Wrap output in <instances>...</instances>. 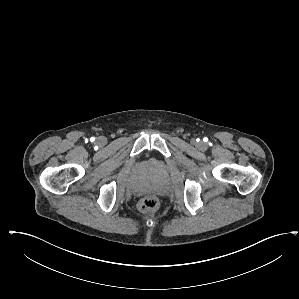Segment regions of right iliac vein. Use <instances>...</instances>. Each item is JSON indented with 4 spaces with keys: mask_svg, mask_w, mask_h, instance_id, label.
Segmentation results:
<instances>
[{
    "mask_svg": "<svg viewBox=\"0 0 299 299\" xmlns=\"http://www.w3.org/2000/svg\"><path fill=\"white\" fill-rule=\"evenodd\" d=\"M97 143L101 146V145H105L106 143V139L104 137H99L97 139Z\"/></svg>",
    "mask_w": 299,
    "mask_h": 299,
    "instance_id": "right-iliac-vein-1",
    "label": "right iliac vein"
}]
</instances>
